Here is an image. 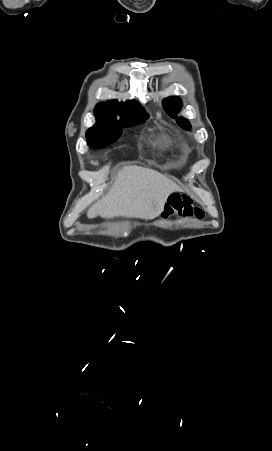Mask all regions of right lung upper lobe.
<instances>
[{"instance_id":"obj_1","label":"right lung upper lobe","mask_w":272,"mask_h":451,"mask_svg":"<svg viewBox=\"0 0 272 451\" xmlns=\"http://www.w3.org/2000/svg\"><path fill=\"white\" fill-rule=\"evenodd\" d=\"M142 108L135 101L118 102L117 100H112L108 102H102L96 105L94 112L97 113H124L136 109Z\"/></svg>"}]
</instances>
